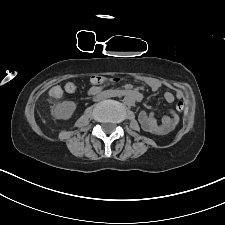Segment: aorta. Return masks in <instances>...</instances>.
I'll use <instances>...</instances> for the list:
<instances>
[{
    "label": "aorta",
    "mask_w": 225,
    "mask_h": 225,
    "mask_svg": "<svg viewBox=\"0 0 225 225\" xmlns=\"http://www.w3.org/2000/svg\"><path fill=\"white\" fill-rule=\"evenodd\" d=\"M123 102L126 105H133L135 102V98L132 95H126L123 99Z\"/></svg>",
    "instance_id": "1"
}]
</instances>
